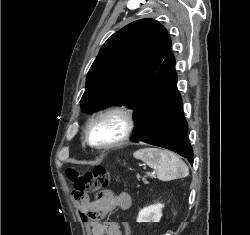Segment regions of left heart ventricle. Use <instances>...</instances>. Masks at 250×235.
I'll return each mask as SVG.
<instances>
[{
    "instance_id": "b2bd125f",
    "label": "left heart ventricle",
    "mask_w": 250,
    "mask_h": 235,
    "mask_svg": "<svg viewBox=\"0 0 250 235\" xmlns=\"http://www.w3.org/2000/svg\"><path fill=\"white\" fill-rule=\"evenodd\" d=\"M121 131L120 118L110 116L97 121L91 129L90 136L95 143H106L115 140Z\"/></svg>"
}]
</instances>
